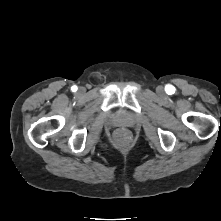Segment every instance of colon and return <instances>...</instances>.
Returning <instances> with one entry per match:
<instances>
[{"label":"colon","mask_w":221,"mask_h":221,"mask_svg":"<svg viewBox=\"0 0 221 221\" xmlns=\"http://www.w3.org/2000/svg\"><path fill=\"white\" fill-rule=\"evenodd\" d=\"M130 140V134L126 129H119L116 133H115V141L118 144H126L128 143Z\"/></svg>","instance_id":"colon-1"}]
</instances>
